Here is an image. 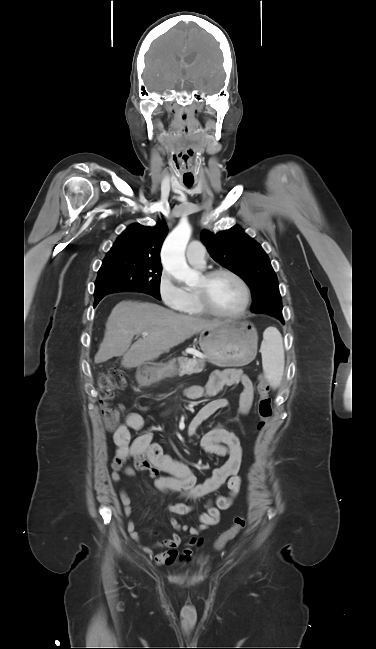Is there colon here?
I'll list each match as a JSON object with an SVG mask.
<instances>
[{"label":"colon","mask_w":376,"mask_h":649,"mask_svg":"<svg viewBox=\"0 0 376 649\" xmlns=\"http://www.w3.org/2000/svg\"><path fill=\"white\" fill-rule=\"evenodd\" d=\"M126 380L118 370H109L101 373L98 380L99 403L105 426L113 430L118 425L121 417V407L112 406L110 401L115 390L124 389ZM258 401L257 413L259 416L258 430L266 429L272 415V405L269 396L270 387L265 376L260 375L257 385ZM245 526L243 517H236L233 525L225 531L217 540L216 547L223 548L229 541L233 540Z\"/></svg>","instance_id":"obj_1"}]
</instances>
